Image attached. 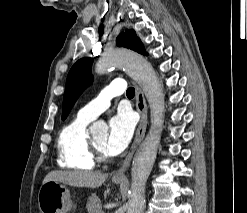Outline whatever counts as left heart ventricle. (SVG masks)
I'll return each mask as SVG.
<instances>
[{
    "mask_svg": "<svg viewBox=\"0 0 247 213\" xmlns=\"http://www.w3.org/2000/svg\"><path fill=\"white\" fill-rule=\"evenodd\" d=\"M92 139H93V142L95 143V145L99 148V150L101 152H103L104 154H107V152L105 150V142L107 139V134L106 133L100 134L98 136L93 137Z\"/></svg>",
    "mask_w": 247,
    "mask_h": 213,
    "instance_id": "1",
    "label": "left heart ventricle"
}]
</instances>
